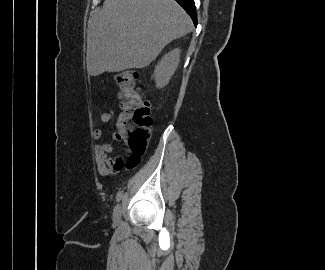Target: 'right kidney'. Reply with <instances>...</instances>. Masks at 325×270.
<instances>
[{
	"label": "right kidney",
	"instance_id": "obj_1",
	"mask_svg": "<svg viewBox=\"0 0 325 270\" xmlns=\"http://www.w3.org/2000/svg\"><path fill=\"white\" fill-rule=\"evenodd\" d=\"M179 58V49H175L163 57L162 61L157 65L153 75L157 87L161 88L169 82L171 76L174 74L178 66L180 60Z\"/></svg>",
	"mask_w": 325,
	"mask_h": 270
}]
</instances>
